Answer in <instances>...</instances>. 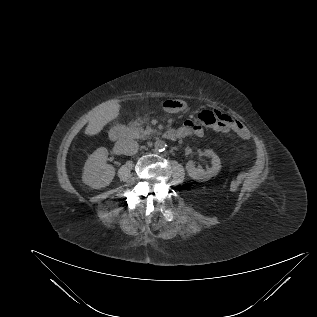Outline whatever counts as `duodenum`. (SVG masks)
I'll list each match as a JSON object with an SVG mask.
<instances>
[{"label": "duodenum", "mask_w": 317, "mask_h": 317, "mask_svg": "<svg viewBox=\"0 0 317 317\" xmlns=\"http://www.w3.org/2000/svg\"><path fill=\"white\" fill-rule=\"evenodd\" d=\"M131 136V131L125 125H117L110 131L109 137L112 141H119L127 139ZM164 137L168 140L176 139V132L174 130H168L164 133Z\"/></svg>", "instance_id": "obj_1"}]
</instances>
